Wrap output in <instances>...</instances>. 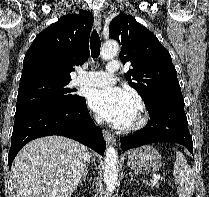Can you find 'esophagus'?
<instances>
[{"instance_id": "34e87169", "label": "esophagus", "mask_w": 209, "mask_h": 197, "mask_svg": "<svg viewBox=\"0 0 209 197\" xmlns=\"http://www.w3.org/2000/svg\"><path fill=\"white\" fill-rule=\"evenodd\" d=\"M94 18H95V24H96L97 30L101 31L102 17H101L100 11H98V10L94 11ZM103 136H104V139L107 142V144H115L116 138L112 133H110L107 130H103Z\"/></svg>"}]
</instances>
